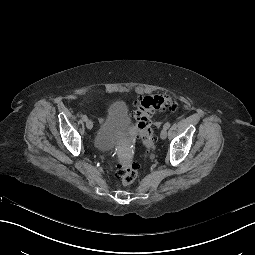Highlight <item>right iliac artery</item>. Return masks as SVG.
I'll return each instance as SVG.
<instances>
[{"label":"right iliac artery","instance_id":"right-iliac-artery-1","mask_svg":"<svg viewBox=\"0 0 255 255\" xmlns=\"http://www.w3.org/2000/svg\"><path fill=\"white\" fill-rule=\"evenodd\" d=\"M82 119H83L84 121H87V120H88V118H87L86 115H83V116H82Z\"/></svg>","mask_w":255,"mask_h":255}]
</instances>
